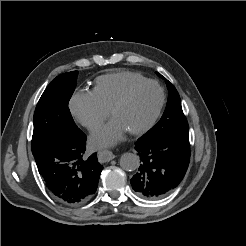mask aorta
I'll return each instance as SVG.
<instances>
[{
    "label": "aorta",
    "mask_w": 246,
    "mask_h": 246,
    "mask_svg": "<svg viewBox=\"0 0 246 246\" xmlns=\"http://www.w3.org/2000/svg\"><path fill=\"white\" fill-rule=\"evenodd\" d=\"M140 165V158L133 153H124L120 158V166L125 171H134Z\"/></svg>",
    "instance_id": "obj_1"
}]
</instances>
